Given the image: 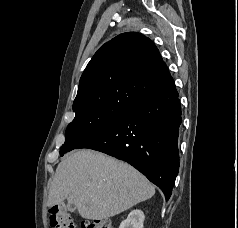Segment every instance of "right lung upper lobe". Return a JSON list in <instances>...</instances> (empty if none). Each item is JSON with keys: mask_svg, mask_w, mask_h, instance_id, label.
<instances>
[{"mask_svg": "<svg viewBox=\"0 0 238 228\" xmlns=\"http://www.w3.org/2000/svg\"><path fill=\"white\" fill-rule=\"evenodd\" d=\"M154 43L127 32L105 43L85 68L73 103L88 108H129L174 86Z\"/></svg>", "mask_w": 238, "mask_h": 228, "instance_id": "1", "label": "right lung upper lobe"}]
</instances>
